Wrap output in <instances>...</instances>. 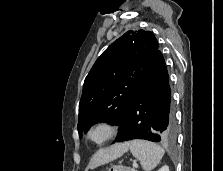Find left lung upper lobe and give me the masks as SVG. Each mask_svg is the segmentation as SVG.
<instances>
[{
	"instance_id": "obj_1",
	"label": "left lung upper lobe",
	"mask_w": 223,
	"mask_h": 171,
	"mask_svg": "<svg viewBox=\"0 0 223 171\" xmlns=\"http://www.w3.org/2000/svg\"><path fill=\"white\" fill-rule=\"evenodd\" d=\"M157 52L154 34L141 29L127 31L100 55L84 81L79 134L98 122H122Z\"/></svg>"
}]
</instances>
